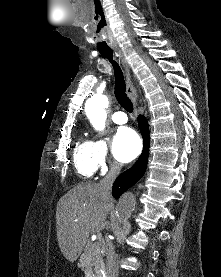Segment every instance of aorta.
Here are the masks:
<instances>
[{
	"instance_id": "1",
	"label": "aorta",
	"mask_w": 221,
	"mask_h": 277,
	"mask_svg": "<svg viewBox=\"0 0 221 277\" xmlns=\"http://www.w3.org/2000/svg\"><path fill=\"white\" fill-rule=\"evenodd\" d=\"M108 98L105 95H95L86 105V113L92 126L99 131L104 130L106 122V111ZM135 209V197L133 193L126 192L117 203V219L120 222L127 220Z\"/></svg>"
}]
</instances>
